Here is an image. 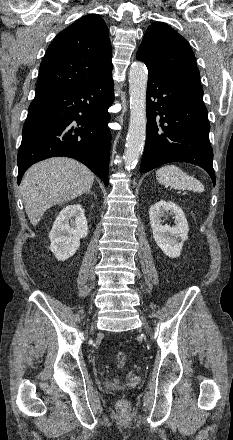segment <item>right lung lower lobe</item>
Masks as SVG:
<instances>
[{
	"instance_id": "obj_1",
	"label": "right lung lower lobe",
	"mask_w": 233,
	"mask_h": 440,
	"mask_svg": "<svg viewBox=\"0 0 233 440\" xmlns=\"http://www.w3.org/2000/svg\"><path fill=\"white\" fill-rule=\"evenodd\" d=\"M112 74L88 85L38 94L29 106L18 152V184L34 163L74 158L108 185Z\"/></svg>"
}]
</instances>
